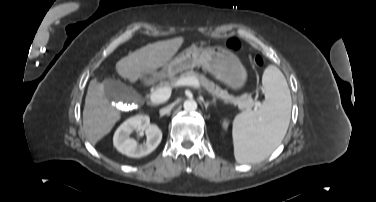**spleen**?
Returning <instances> with one entry per match:
<instances>
[{
  "instance_id": "obj_1",
  "label": "spleen",
  "mask_w": 376,
  "mask_h": 202,
  "mask_svg": "<svg viewBox=\"0 0 376 202\" xmlns=\"http://www.w3.org/2000/svg\"><path fill=\"white\" fill-rule=\"evenodd\" d=\"M265 100L257 111L238 114L233 121L235 159L258 162L268 157L284 139L291 116V95L284 74L269 65L263 75Z\"/></svg>"
}]
</instances>
